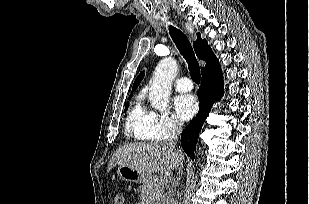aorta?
<instances>
[{
  "instance_id": "aorta-1",
  "label": "aorta",
  "mask_w": 309,
  "mask_h": 204,
  "mask_svg": "<svg viewBox=\"0 0 309 204\" xmlns=\"http://www.w3.org/2000/svg\"><path fill=\"white\" fill-rule=\"evenodd\" d=\"M177 67V61L168 57L162 59L155 68L154 77L149 86V99L152 106L159 111L166 110L168 106Z\"/></svg>"
}]
</instances>
